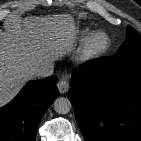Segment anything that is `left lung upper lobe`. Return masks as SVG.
<instances>
[{"label":"left lung upper lobe","mask_w":141,"mask_h":141,"mask_svg":"<svg viewBox=\"0 0 141 141\" xmlns=\"http://www.w3.org/2000/svg\"><path fill=\"white\" fill-rule=\"evenodd\" d=\"M131 52H141V36L130 26L127 28V38L120 46L116 55H123Z\"/></svg>","instance_id":"obj_1"}]
</instances>
